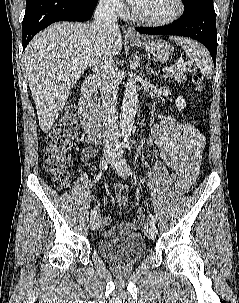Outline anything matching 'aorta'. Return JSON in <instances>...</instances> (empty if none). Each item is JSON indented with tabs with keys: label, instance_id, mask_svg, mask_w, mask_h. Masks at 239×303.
<instances>
[{
	"label": "aorta",
	"instance_id": "obj_1",
	"mask_svg": "<svg viewBox=\"0 0 239 303\" xmlns=\"http://www.w3.org/2000/svg\"><path fill=\"white\" fill-rule=\"evenodd\" d=\"M138 105L137 85L132 79H130L125 85L119 118L121 136L124 138V141H127L131 135Z\"/></svg>",
	"mask_w": 239,
	"mask_h": 303
}]
</instances>
